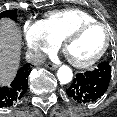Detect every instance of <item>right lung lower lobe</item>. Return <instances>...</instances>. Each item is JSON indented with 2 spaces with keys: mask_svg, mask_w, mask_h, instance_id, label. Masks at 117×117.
Listing matches in <instances>:
<instances>
[{
  "mask_svg": "<svg viewBox=\"0 0 117 117\" xmlns=\"http://www.w3.org/2000/svg\"><path fill=\"white\" fill-rule=\"evenodd\" d=\"M30 71L31 65L25 64L18 70L10 87H0V108L11 107L23 98L28 87Z\"/></svg>",
  "mask_w": 117,
  "mask_h": 117,
  "instance_id": "98d812e1",
  "label": "right lung lower lobe"
}]
</instances>
